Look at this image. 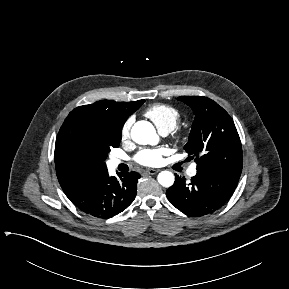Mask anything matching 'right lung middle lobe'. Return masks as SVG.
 Listing matches in <instances>:
<instances>
[{
  "label": "right lung middle lobe",
  "instance_id": "right-lung-middle-lobe-1",
  "mask_svg": "<svg viewBox=\"0 0 289 289\" xmlns=\"http://www.w3.org/2000/svg\"><path fill=\"white\" fill-rule=\"evenodd\" d=\"M121 133L106 122L67 120L57 135L55 155L76 175L99 174L107 170L104 161L110 149L119 146Z\"/></svg>",
  "mask_w": 289,
  "mask_h": 289
}]
</instances>
